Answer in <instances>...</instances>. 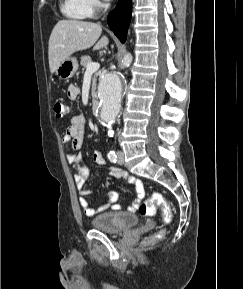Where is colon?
Here are the masks:
<instances>
[{
  "label": "colon",
  "instance_id": "obj_1",
  "mask_svg": "<svg viewBox=\"0 0 243 289\" xmlns=\"http://www.w3.org/2000/svg\"><path fill=\"white\" fill-rule=\"evenodd\" d=\"M53 109H54L55 115L58 118L65 117L68 112L67 106L60 100H57L54 103ZM157 207H159L162 210L164 222L169 223L172 218V210L168 201L159 192H154L148 199L140 203L138 210L140 214L143 216H153L155 214ZM163 233H164L163 231H160L154 234L153 236L147 239V242L151 243L157 240L158 238L162 237Z\"/></svg>",
  "mask_w": 243,
  "mask_h": 289
}]
</instances>
